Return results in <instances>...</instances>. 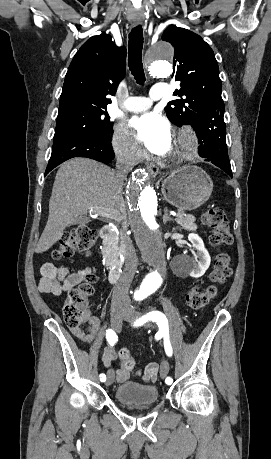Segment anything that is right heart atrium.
Here are the masks:
<instances>
[{
    "label": "right heart atrium",
    "instance_id": "right-heart-atrium-1",
    "mask_svg": "<svg viewBox=\"0 0 271 459\" xmlns=\"http://www.w3.org/2000/svg\"><path fill=\"white\" fill-rule=\"evenodd\" d=\"M112 147L115 153L131 164L138 163L144 157V150L135 142L126 127L117 125L112 135Z\"/></svg>",
    "mask_w": 271,
    "mask_h": 459
}]
</instances>
